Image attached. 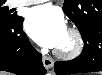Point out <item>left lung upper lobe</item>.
<instances>
[{"mask_svg": "<svg viewBox=\"0 0 102 75\" xmlns=\"http://www.w3.org/2000/svg\"><path fill=\"white\" fill-rule=\"evenodd\" d=\"M63 11L78 29L92 24L102 25V0H65Z\"/></svg>", "mask_w": 102, "mask_h": 75, "instance_id": "1", "label": "left lung upper lobe"}]
</instances>
